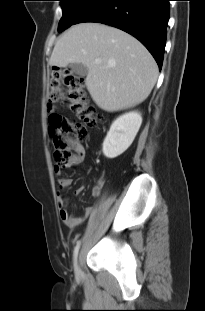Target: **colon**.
Here are the masks:
<instances>
[{"instance_id":"colon-1","label":"colon","mask_w":205,"mask_h":311,"mask_svg":"<svg viewBox=\"0 0 205 311\" xmlns=\"http://www.w3.org/2000/svg\"><path fill=\"white\" fill-rule=\"evenodd\" d=\"M65 101L70 112L81 121L58 112L59 104ZM46 105L54 158L57 164L64 166L72 158V151L87 138V128L97 126L101 119L86 101L84 78L69 71L51 72Z\"/></svg>"}]
</instances>
